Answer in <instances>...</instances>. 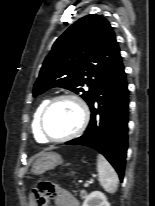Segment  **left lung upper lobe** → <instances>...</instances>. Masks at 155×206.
Wrapping results in <instances>:
<instances>
[{"mask_svg": "<svg viewBox=\"0 0 155 206\" xmlns=\"http://www.w3.org/2000/svg\"><path fill=\"white\" fill-rule=\"evenodd\" d=\"M120 59L109 22L100 15L82 17L55 41L43 62L33 96L62 87L80 94L89 105Z\"/></svg>", "mask_w": 155, "mask_h": 206, "instance_id": "5c2ea615", "label": "left lung upper lobe"}]
</instances>
